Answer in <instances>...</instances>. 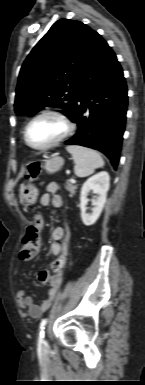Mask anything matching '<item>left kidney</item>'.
<instances>
[{"instance_id":"1","label":"left kidney","mask_w":145,"mask_h":385,"mask_svg":"<svg viewBox=\"0 0 145 385\" xmlns=\"http://www.w3.org/2000/svg\"><path fill=\"white\" fill-rule=\"evenodd\" d=\"M109 186L110 176L105 171L93 175L83 184L80 194V210L82 221L86 226H91L98 220L106 202ZM90 191L97 196L92 199L93 212L88 214L86 213V205L88 203L87 195Z\"/></svg>"}]
</instances>
